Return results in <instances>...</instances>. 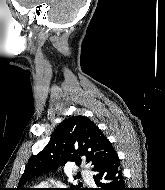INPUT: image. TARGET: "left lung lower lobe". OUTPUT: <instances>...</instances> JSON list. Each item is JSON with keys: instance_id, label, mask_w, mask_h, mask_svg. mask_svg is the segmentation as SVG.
Segmentation results:
<instances>
[{"instance_id": "0a47b994", "label": "left lung lower lobe", "mask_w": 165, "mask_h": 190, "mask_svg": "<svg viewBox=\"0 0 165 190\" xmlns=\"http://www.w3.org/2000/svg\"><path fill=\"white\" fill-rule=\"evenodd\" d=\"M98 190H125L122 169L116 152L94 170Z\"/></svg>"}]
</instances>
